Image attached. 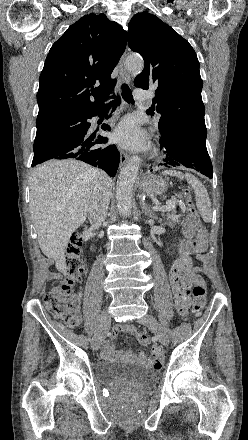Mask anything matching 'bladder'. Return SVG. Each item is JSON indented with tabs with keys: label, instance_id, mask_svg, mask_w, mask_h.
<instances>
[{
	"label": "bladder",
	"instance_id": "31cf9c89",
	"mask_svg": "<svg viewBox=\"0 0 248 440\" xmlns=\"http://www.w3.org/2000/svg\"><path fill=\"white\" fill-rule=\"evenodd\" d=\"M95 373L101 383L117 391L140 392L154 385L157 378L149 367L113 361L98 363Z\"/></svg>",
	"mask_w": 248,
	"mask_h": 440
}]
</instances>
